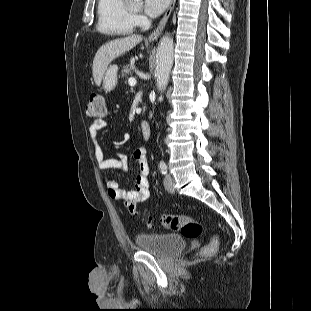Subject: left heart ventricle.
I'll return each mask as SVG.
<instances>
[{"instance_id": "b2bd125f", "label": "left heart ventricle", "mask_w": 311, "mask_h": 311, "mask_svg": "<svg viewBox=\"0 0 311 311\" xmlns=\"http://www.w3.org/2000/svg\"><path fill=\"white\" fill-rule=\"evenodd\" d=\"M130 8L131 9H133V10H138L139 9V7H140V4L139 3H137V2H132L130 5Z\"/></svg>"}]
</instances>
